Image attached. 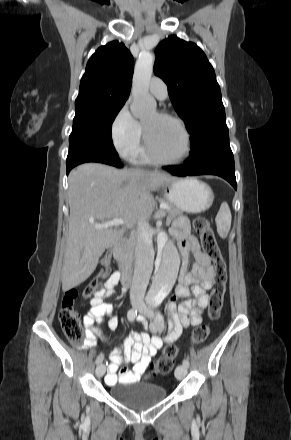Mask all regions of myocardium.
<instances>
[{"instance_id": "f54148a6", "label": "myocardium", "mask_w": 291, "mask_h": 440, "mask_svg": "<svg viewBox=\"0 0 291 440\" xmlns=\"http://www.w3.org/2000/svg\"><path fill=\"white\" fill-rule=\"evenodd\" d=\"M157 113L160 116L167 118V119H170L179 125V127L181 128V130L183 131L184 136H185L186 150H185L184 155L178 160H166V159L162 158L158 154V152L154 149V147L152 146L151 141L148 136V133H147V130L143 124V138H144L146 152H147L148 156L156 163H159L162 165H168V166L179 165V164L183 163L185 160H187L192 152L191 134H190L185 122L179 116L172 114V113H169V112H166V111H158Z\"/></svg>"}]
</instances>
